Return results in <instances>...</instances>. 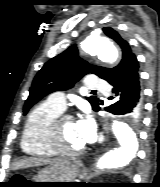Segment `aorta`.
I'll return each instance as SVG.
<instances>
[{
    "label": "aorta",
    "instance_id": "1",
    "mask_svg": "<svg viewBox=\"0 0 160 187\" xmlns=\"http://www.w3.org/2000/svg\"><path fill=\"white\" fill-rule=\"evenodd\" d=\"M81 47L85 53L96 55L107 63H114L119 55L113 42L101 34L90 35L82 42ZM112 131L118 145L99 158L96 166L100 170L125 166L134 158L138 148V137L127 123L114 121Z\"/></svg>",
    "mask_w": 160,
    "mask_h": 187
}]
</instances>
